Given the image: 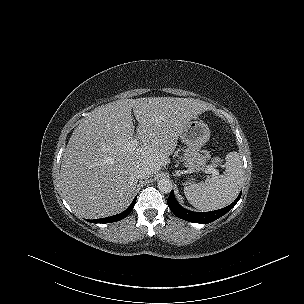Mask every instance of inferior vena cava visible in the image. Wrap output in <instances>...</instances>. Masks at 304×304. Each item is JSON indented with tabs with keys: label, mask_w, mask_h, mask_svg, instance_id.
<instances>
[{
	"label": "inferior vena cava",
	"mask_w": 304,
	"mask_h": 304,
	"mask_svg": "<svg viewBox=\"0 0 304 304\" xmlns=\"http://www.w3.org/2000/svg\"><path fill=\"white\" fill-rule=\"evenodd\" d=\"M135 175L137 179L143 180L151 176V171L148 168L139 167L136 169Z\"/></svg>",
	"instance_id": "inferior-vena-cava-1"
}]
</instances>
